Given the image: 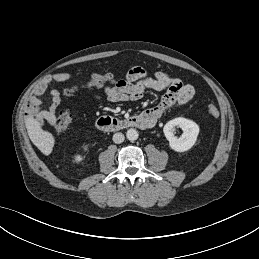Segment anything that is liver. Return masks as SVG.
Returning <instances> with one entry per match:
<instances>
[{
	"label": "liver",
	"instance_id": "obj_1",
	"mask_svg": "<svg viewBox=\"0 0 259 259\" xmlns=\"http://www.w3.org/2000/svg\"><path fill=\"white\" fill-rule=\"evenodd\" d=\"M25 125L28 135L32 143L44 154H51L55 138L52 133L45 131L41 128V124L33 116H27L25 119Z\"/></svg>",
	"mask_w": 259,
	"mask_h": 259
}]
</instances>
